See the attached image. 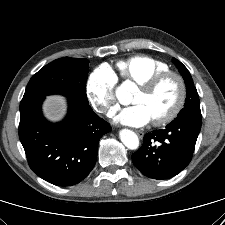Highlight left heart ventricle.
Returning a JSON list of instances; mask_svg holds the SVG:
<instances>
[{
	"instance_id": "1",
	"label": "left heart ventricle",
	"mask_w": 225,
	"mask_h": 225,
	"mask_svg": "<svg viewBox=\"0 0 225 225\" xmlns=\"http://www.w3.org/2000/svg\"><path fill=\"white\" fill-rule=\"evenodd\" d=\"M177 94L178 86L176 81L169 78L162 82L153 92H145L139 88L132 102L144 105L153 120L164 115L173 106Z\"/></svg>"
}]
</instances>
